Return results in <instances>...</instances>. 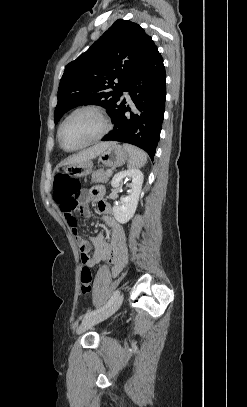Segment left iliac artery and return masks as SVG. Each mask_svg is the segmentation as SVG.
<instances>
[{
  "mask_svg": "<svg viewBox=\"0 0 247 407\" xmlns=\"http://www.w3.org/2000/svg\"><path fill=\"white\" fill-rule=\"evenodd\" d=\"M119 294H120V292H119L118 290H116V291L114 292L113 296L110 298V300H109L103 307H101L100 309H97V310L88 311V312L85 314L84 319H87V318H89V317H91V316H94V315H96L97 313H100V312L106 310L107 308H109V307L113 304V302L117 299V297L119 296Z\"/></svg>",
  "mask_w": 247,
  "mask_h": 407,
  "instance_id": "44dca946",
  "label": "left iliac artery"
}]
</instances>
